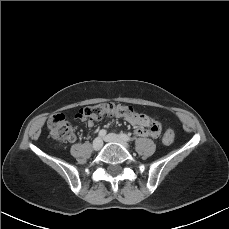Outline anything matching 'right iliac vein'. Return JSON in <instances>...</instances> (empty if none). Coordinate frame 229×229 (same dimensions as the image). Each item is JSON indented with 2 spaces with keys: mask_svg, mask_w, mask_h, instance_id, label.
Returning <instances> with one entry per match:
<instances>
[{
  "mask_svg": "<svg viewBox=\"0 0 229 229\" xmlns=\"http://www.w3.org/2000/svg\"><path fill=\"white\" fill-rule=\"evenodd\" d=\"M102 146H103V141H102L101 138L97 137L96 139H94V141H93V149L95 151L100 150L102 148Z\"/></svg>",
  "mask_w": 229,
  "mask_h": 229,
  "instance_id": "obj_1",
  "label": "right iliac vein"
}]
</instances>
